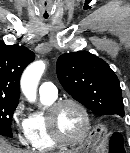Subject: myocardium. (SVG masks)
Instances as JSON below:
<instances>
[{"instance_id": "1", "label": "myocardium", "mask_w": 130, "mask_h": 153, "mask_svg": "<svg viewBox=\"0 0 130 153\" xmlns=\"http://www.w3.org/2000/svg\"><path fill=\"white\" fill-rule=\"evenodd\" d=\"M65 105H73L79 109L84 120L83 132L76 139H67L63 137L57 127V115L60 109ZM46 123L49 134L53 141L64 146H75L83 143L87 139L91 130V119L86 107L78 100L71 98L60 99L50 105L46 113Z\"/></svg>"}]
</instances>
